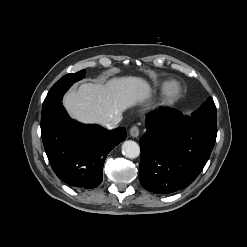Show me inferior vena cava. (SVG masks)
I'll return each instance as SVG.
<instances>
[{
	"label": "inferior vena cava",
	"instance_id": "1",
	"mask_svg": "<svg viewBox=\"0 0 247 247\" xmlns=\"http://www.w3.org/2000/svg\"><path fill=\"white\" fill-rule=\"evenodd\" d=\"M122 120V116H118L117 118H115L111 123L106 124L105 126L108 129H113L115 128V126Z\"/></svg>",
	"mask_w": 247,
	"mask_h": 247
}]
</instances>
